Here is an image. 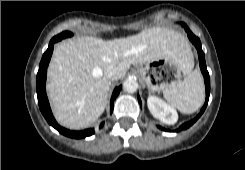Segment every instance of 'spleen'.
<instances>
[{"mask_svg": "<svg viewBox=\"0 0 245 170\" xmlns=\"http://www.w3.org/2000/svg\"><path fill=\"white\" fill-rule=\"evenodd\" d=\"M189 56L192 58L189 51ZM164 98L174 108L185 114L197 111L205 96L203 77L199 70L190 71L187 77L164 93Z\"/></svg>", "mask_w": 245, "mask_h": 170, "instance_id": "spleen-1", "label": "spleen"}]
</instances>
